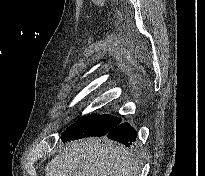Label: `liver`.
Masks as SVG:
<instances>
[{
	"instance_id": "1",
	"label": "liver",
	"mask_w": 205,
	"mask_h": 176,
	"mask_svg": "<svg viewBox=\"0 0 205 176\" xmlns=\"http://www.w3.org/2000/svg\"><path fill=\"white\" fill-rule=\"evenodd\" d=\"M45 171L46 176H138L139 167L123 146L88 138L67 143Z\"/></svg>"
}]
</instances>
